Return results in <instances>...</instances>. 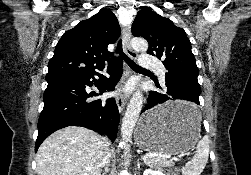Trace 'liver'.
<instances>
[{
	"label": "liver",
	"instance_id": "6515ba94",
	"mask_svg": "<svg viewBox=\"0 0 251 175\" xmlns=\"http://www.w3.org/2000/svg\"><path fill=\"white\" fill-rule=\"evenodd\" d=\"M104 143L86 127H64L51 133L37 153L38 175H100Z\"/></svg>",
	"mask_w": 251,
	"mask_h": 175
}]
</instances>
